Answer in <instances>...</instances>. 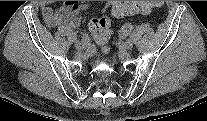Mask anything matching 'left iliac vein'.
Masks as SVG:
<instances>
[{
	"label": "left iliac vein",
	"instance_id": "obj_1",
	"mask_svg": "<svg viewBox=\"0 0 207 121\" xmlns=\"http://www.w3.org/2000/svg\"><path fill=\"white\" fill-rule=\"evenodd\" d=\"M122 47L124 49H131L133 47V41L132 40H127L122 43Z\"/></svg>",
	"mask_w": 207,
	"mask_h": 121
}]
</instances>
